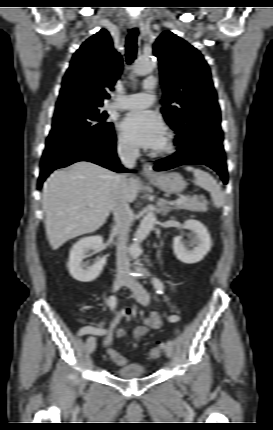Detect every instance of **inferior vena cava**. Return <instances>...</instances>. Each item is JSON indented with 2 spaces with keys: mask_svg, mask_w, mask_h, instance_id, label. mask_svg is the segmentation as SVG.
I'll return each instance as SVG.
<instances>
[{
  "mask_svg": "<svg viewBox=\"0 0 273 430\" xmlns=\"http://www.w3.org/2000/svg\"><path fill=\"white\" fill-rule=\"evenodd\" d=\"M118 156L122 164L128 168L135 167L139 150L135 147H118ZM127 182V173L118 174L114 178L113 211L115 226L118 233L117 242V276L120 278L131 279L129 275V259L127 250L128 233L132 224L133 212L124 195L123 187Z\"/></svg>",
  "mask_w": 273,
  "mask_h": 430,
  "instance_id": "obj_1",
  "label": "inferior vena cava"
}]
</instances>
